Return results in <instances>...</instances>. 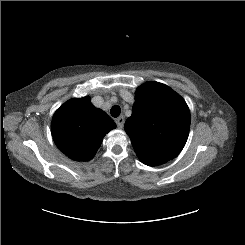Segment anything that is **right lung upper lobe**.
<instances>
[{
	"mask_svg": "<svg viewBox=\"0 0 245 245\" xmlns=\"http://www.w3.org/2000/svg\"><path fill=\"white\" fill-rule=\"evenodd\" d=\"M114 128V121L95 108L89 97L68 100L55 112L51 123L55 144L76 161L90 160L104 136Z\"/></svg>",
	"mask_w": 245,
	"mask_h": 245,
	"instance_id": "right-lung-upper-lobe-1",
	"label": "right lung upper lobe"
}]
</instances>
